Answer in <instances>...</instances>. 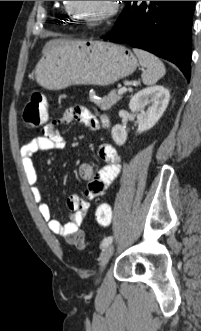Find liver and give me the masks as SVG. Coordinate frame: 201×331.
<instances>
[{
	"label": "liver",
	"mask_w": 201,
	"mask_h": 331,
	"mask_svg": "<svg viewBox=\"0 0 201 331\" xmlns=\"http://www.w3.org/2000/svg\"><path fill=\"white\" fill-rule=\"evenodd\" d=\"M65 42V40H61V39H55V40H50L49 42H47L43 48V52H45L46 50H48L51 46L58 44V43H62Z\"/></svg>",
	"instance_id": "1"
}]
</instances>
